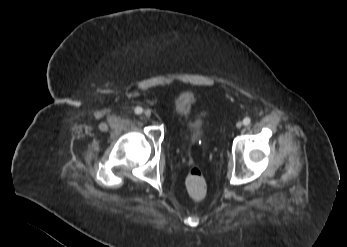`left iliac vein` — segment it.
I'll use <instances>...</instances> for the list:
<instances>
[{"label": "left iliac vein", "instance_id": "4c4485c4", "mask_svg": "<svg viewBox=\"0 0 347 247\" xmlns=\"http://www.w3.org/2000/svg\"><path fill=\"white\" fill-rule=\"evenodd\" d=\"M242 125H243L242 122H237V123H236V127H237V128H241Z\"/></svg>", "mask_w": 347, "mask_h": 247}]
</instances>
